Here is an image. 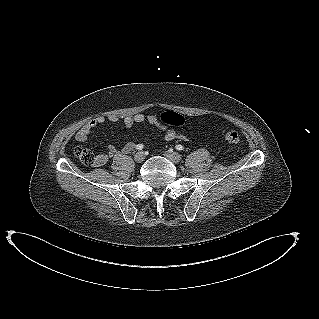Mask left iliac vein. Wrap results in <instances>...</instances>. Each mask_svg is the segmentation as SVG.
<instances>
[{
    "instance_id": "left-iliac-vein-1",
    "label": "left iliac vein",
    "mask_w": 319,
    "mask_h": 319,
    "mask_svg": "<svg viewBox=\"0 0 319 319\" xmlns=\"http://www.w3.org/2000/svg\"><path fill=\"white\" fill-rule=\"evenodd\" d=\"M164 155L174 163H179L181 161V155L177 152L167 151Z\"/></svg>"
}]
</instances>
